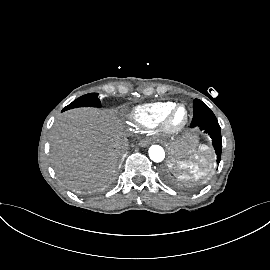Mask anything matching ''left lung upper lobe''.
I'll return each mask as SVG.
<instances>
[{
    "label": "left lung upper lobe",
    "mask_w": 270,
    "mask_h": 270,
    "mask_svg": "<svg viewBox=\"0 0 270 270\" xmlns=\"http://www.w3.org/2000/svg\"><path fill=\"white\" fill-rule=\"evenodd\" d=\"M194 116L191 125L196 126L205 121L217 120L214 113L209 109L205 103L199 99L193 102Z\"/></svg>",
    "instance_id": "left-lung-upper-lobe-1"
}]
</instances>
